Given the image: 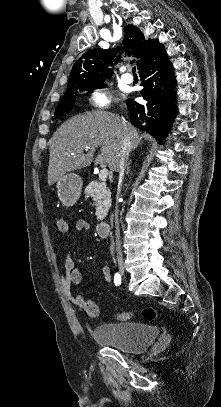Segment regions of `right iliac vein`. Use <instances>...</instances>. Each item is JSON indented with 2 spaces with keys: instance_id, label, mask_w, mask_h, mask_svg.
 <instances>
[{
  "instance_id": "right-iliac-vein-1",
  "label": "right iliac vein",
  "mask_w": 221,
  "mask_h": 407,
  "mask_svg": "<svg viewBox=\"0 0 221 407\" xmlns=\"http://www.w3.org/2000/svg\"><path fill=\"white\" fill-rule=\"evenodd\" d=\"M119 270H120V272H123V271H124V267L121 266V267L119 268Z\"/></svg>"
}]
</instances>
